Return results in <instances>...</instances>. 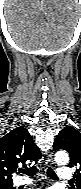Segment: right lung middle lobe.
Here are the masks:
<instances>
[{
	"mask_svg": "<svg viewBox=\"0 0 81 189\" xmlns=\"http://www.w3.org/2000/svg\"><path fill=\"white\" fill-rule=\"evenodd\" d=\"M0 189H13L12 184L0 186Z\"/></svg>",
	"mask_w": 81,
	"mask_h": 189,
	"instance_id": "right-lung-middle-lobe-1",
	"label": "right lung middle lobe"
}]
</instances>
